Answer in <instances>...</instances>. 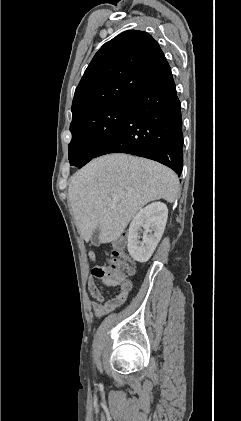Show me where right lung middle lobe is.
I'll list each match as a JSON object with an SVG mask.
<instances>
[{"label": "right lung middle lobe", "mask_w": 241, "mask_h": 421, "mask_svg": "<svg viewBox=\"0 0 241 421\" xmlns=\"http://www.w3.org/2000/svg\"><path fill=\"white\" fill-rule=\"evenodd\" d=\"M129 100L119 101L85 114L71 122L68 146L71 165L81 168L95 158L120 127Z\"/></svg>", "instance_id": "obj_1"}]
</instances>
